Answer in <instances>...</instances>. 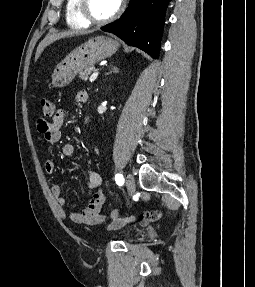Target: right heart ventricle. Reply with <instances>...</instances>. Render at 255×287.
Instances as JSON below:
<instances>
[{
	"label": "right heart ventricle",
	"mask_w": 255,
	"mask_h": 287,
	"mask_svg": "<svg viewBox=\"0 0 255 287\" xmlns=\"http://www.w3.org/2000/svg\"><path fill=\"white\" fill-rule=\"evenodd\" d=\"M84 39H89V38H84ZM85 48V47H84ZM86 48H91V47H86Z\"/></svg>",
	"instance_id": "e07e8e85"
}]
</instances>
